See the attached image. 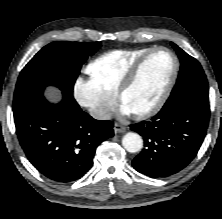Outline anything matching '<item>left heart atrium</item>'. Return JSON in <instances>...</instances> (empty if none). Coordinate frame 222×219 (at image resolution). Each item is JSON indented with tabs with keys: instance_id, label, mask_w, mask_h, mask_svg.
<instances>
[{
	"instance_id": "1",
	"label": "left heart atrium",
	"mask_w": 222,
	"mask_h": 219,
	"mask_svg": "<svg viewBox=\"0 0 222 219\" xmlns=\"http://www.w3.org/2000/svg\"><path fill=\"white\" fill-rule=\"evenodd\" d=\"M120 113L123 116H129V115L133 114L132 111L124 104H122L120 107Z\"/></svg>"
}]
</instances>
